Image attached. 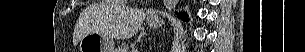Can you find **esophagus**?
<instances>
[{
    "mask_svg": "<svg viewBox=\"0 0 305 52\" xmlns=\"http://www.w3.org/2000/svg\"><path fill=\"white\" fill-rule=\"evenodd\" d=\"M154 16H155V14H154V13H151V14H150V17H154Z\"/></svg>",
    "mask_w": 305,
    "mask_h": 52,
    "instance_id": "esophagus-1",
    "label": "esophagus"
}]
</instances>
